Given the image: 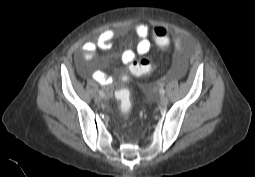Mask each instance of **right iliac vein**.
Listing matches in <instances>:
<instances>
[{
	"mask_svg": "<svg viewBox=\"0 0 255 177\" xmlns=\"http://www.w3.org/2000/svg\"><path fill=\"white\" fill-rule=\"evenodd\" d=\"M94 101L96 103H100L101 102V97L100 96H95Z\"/></svg>",
	"mask_w": 255,
	"mask_h": 177,
	"instance_id": "63e3f726",
	"label": "right iliac vein"
}]
</instances>
